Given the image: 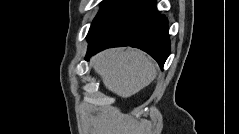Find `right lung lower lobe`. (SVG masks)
<instances>
[{
	"label": "right lung lower lobe",
	"mask_w": 239,
	"mask_h": 134,
	"mask_svg": "<svg viewBox=\"0 0 239 134\" xmlns=\"http://www.w3.org/2000/svg\"><path fill=\"white\" fill-rule=\"evenodd\" d=\"M155 0H129L92 35L86 58L110 47L132 46L150 54L163 67L170 54L168 20Z\"/></svg>",
	"instance_id": "98d812e1"
}]
</instances>
